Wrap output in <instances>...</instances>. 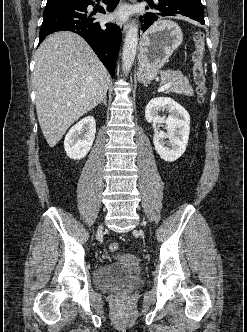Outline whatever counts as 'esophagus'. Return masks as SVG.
Listing matches in <instances>:
<instances>
[{
  "instance_id": "esophagus-1",
  "label": "esophagus",
  "mask_w": 247,
  "mask_h": 332,
  "mask_svg": "<svg viewBox=\"0 0 247 332\" xmlns=\"http://www.w3.org/2000/svg\"><path fill=\"white\" fill-rule=\"evenodd\" d=\"M120 29L122 33L125 34L127 32L128 25L126 23H120Z\"/></svg>"
}]
</instances>
